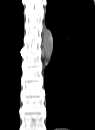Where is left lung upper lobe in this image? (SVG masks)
Returning a JSON list of instances; mask_svg holds the SVG:
<instances>
[{"label": "left lung upper lobe", "mask_w": 95, "mask_h": 130, "mask_svg": "<svg viewBox=\"0 0 95 130\" xmlns=\"http://www.w3.org/2000/svg\"><path fill=\"white\" fill-rule=\"evenodd\" d=\"M46 14L51 17H77L95 23L94 4L91 0H48Z\"/></svg>", "instance_id": "5c2ea615"}]
</instances>
